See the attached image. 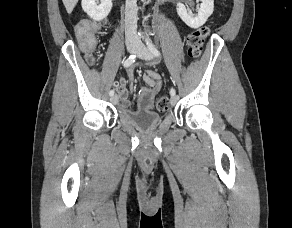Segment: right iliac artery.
<instances>
[{"instance_id": "82829eb1", "label": "right iliac artery", "mask_w": 292, "mask_h": 228, "mask_svg": "<svg viewBox=\"0 0 292 228\" xmlns=\"http://www.w3.org/2000/svg\"><path fill=\"white\" fill-rule=\"evenodd\" d=\"M135 60H136V55L135 54H132V55H130L124 62H123V66L124 67H129V66H131L134 62H135ZM109 95L110 96H113L114 95V90H111L110 92H109Z\"/></svg>"}]
</instances>
